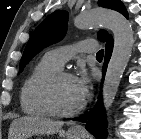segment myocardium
Here are the masks:
<instances>
[{
    "label": "myocardium",
    "mask_w": 141,
    "mask_h": 139,
    "mask_svg": "<svg viewBox=\"0 0 141 139\" xmlns=\"http://www.w3.org/2000/svg\"><path fill=\"white\" fill-rule=\"evenodd\" d=\"M66 77H73V75L67 71L59 70L52 74L43 84L41 89V98L43 101V104L50 115L56 116V117H69L76 115L79 113L85 106V101L82 100V102L77 105L76 107L70 109V110H61L57 107L55 102V88L57 83Z\"/></svg>",
    "instance_id": "myocardium-1"
}]
</instances>
